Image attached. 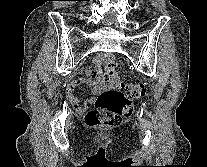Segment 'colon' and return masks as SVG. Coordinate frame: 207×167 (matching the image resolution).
Returning a JSON list of instances; mask_svg holds the SVG:
<instances>
[{
    "instance_id": "obj_1",
    "label": "colon",
    "mask_w": 207,
    "mask_h": 167,
    "mask_svg": "<svg viewBox=\"0 0 207 167\" xmlns=\"http://www.w3.org/2000/svg\"><path fill=\"white\" fill-rule=\"evenodd\" d=\"M117 60L110 58L104 65L106 88L98 95L94 109L85 116L89 126H115L133 111L132 101L143 96L142 84L121 78L115 73Z\"/></svg>"
}]
</instances>
